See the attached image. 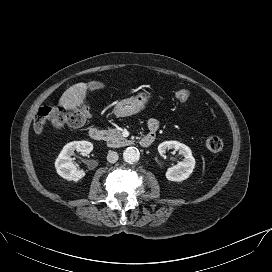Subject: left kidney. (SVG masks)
Returning a JSON list of instances; mask_svg holds the SVG:
<instances>
[{"label": "left kidney", "instance_id": "left-kidney-1", "mask_svg": "<svg viewBox=\"0 0 272 272\" xmlns=\"http://www.w3.org/2000/svg\"><path fill=\"white\" fill-rule=\"evenodd\" d=\"M170 149H175L179 154L183 155L184 160L177 165L168 168L165 176L169 181L181 182L186 180L195 167V159L192 156L191 149L178 141H165L158 146V151L161 155Z\"/></svg>", "mask_w": 272, "mask_h": 272}]
</instances>
